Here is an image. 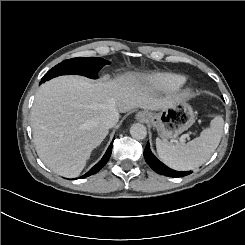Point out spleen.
Returning a JSON list of instances; mask_svg holds the SVG:
<instances>
[{
  "instance_id": "spleen-1",
  "label": "spleen",
  "mask_w": 245,
  "mask_h": 245,
  "mask_svg": "<svg viewBox=\"0 0 245 245\" xmlns=\"http://www.w3.org/2000/svg\"><path fill=\"white\" fill-rule=\"evenodd\" d=\"M224 130V120L217 116L208 130L200 138H195L186 145L174 146L156 139L157 153L160 160L176 171H189L205 164L220 144Z\"/></svg>"
}]
</instances>
